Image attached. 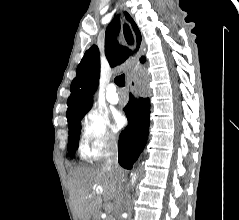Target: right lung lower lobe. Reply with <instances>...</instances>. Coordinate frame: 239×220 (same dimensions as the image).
<instances>
[{
  "mask_svg": "<svg viewBox=\"0 0 239 220\" xmlns=\"http://www.w3.org/2000/svg\"><path fill=\"white\" fill-rule=\"evenodd\" d=\"M128 126L121 132L118 142L119 164L131 169L143 151L149 131L150 102L149 98L136 99L130 94L124 108Z\"/></svg>",
  "mask_w": 239,
  "mask_h": 220,
  "instance_id": "obj_1",
  "label": "right lung lower lobe"
}]
</instances>
